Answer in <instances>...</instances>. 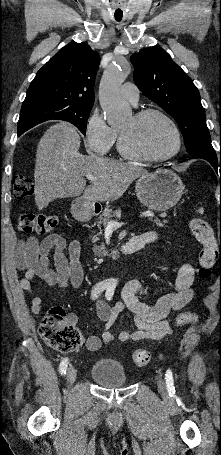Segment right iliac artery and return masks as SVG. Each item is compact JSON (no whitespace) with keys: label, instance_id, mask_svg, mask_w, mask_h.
<instances>
[{"label":"right iliac artery","instance_id":"1","mask_svg":"<svg viewBox=\"0 0 221 455\" xmlns=\"http://www.w3.org/2000/svg\"><path fill=\"white\" fill-rule=\"evenodd\" d=\"M108 287H109V284L107 282H100V283L96 284L91 292L92 300H96L100 296V294ZM67 365H68V359L64 358L61 361L60 366H59V372L61 375H64L66 373Z\"/></svg>","mask_w":221,"mask_h":455}]
</instances>
